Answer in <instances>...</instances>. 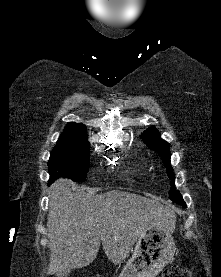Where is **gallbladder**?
<instances>
[{"label": "gallbladder", "mask_w": 221, "mask_h": 277, "mask_svg": "<svg viewBox=\"0 0 221 277\" xmlns=\"http://www.w3.org/2000/svg\"><path fill=\"white\" fill-rule=\"evenodd\" d=\"M71 269H64L56 273V277H68L70 274Z\"/></svg>", "instance_id": "bac80fb5"}]
</instances>
